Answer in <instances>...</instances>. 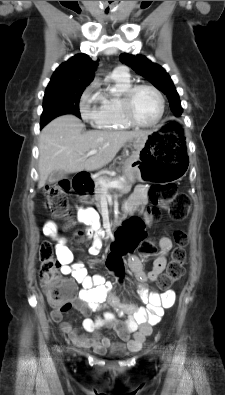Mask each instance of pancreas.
<instances>
[{
    "mask_svg": "<svg viewBox=\"0 0 225 395\" xmlns=\"http://www.w3.org/2000/svg\"><path fill=\"white\" fill-rule=\"evenodd\" d=\"M114 180L119 181L123 185V188L120 189L121 192L128 193L131 190L133 181L128 180L125 176L120 177V178H110L106 174H103L102 176H99L95 179V190H94L95 196H94V198L96 201L99 202L104 190H111L110 188H104L103 185L101 184V181L108 183V182H111Z\"/></svg>",
    "mask_w": 225,
    "mask_h": 395,
    "instance_id": "pancreas-1",
    "label": "pancreas"
}]
</instances>
